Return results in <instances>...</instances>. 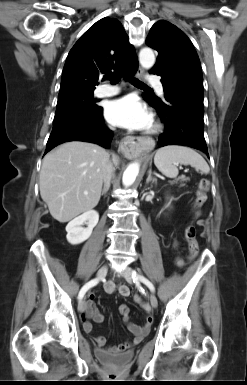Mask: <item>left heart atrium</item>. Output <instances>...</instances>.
<instances>
[{
    "mask_svg": "<svg viewBox=\"0 0 247 385\" xmlns=\"http://www.w3.org/2000/svg\"><path fill=\"white\" fill-rule=\"evenodd\" d=\"M105 116L111 124L129 130H145L152 124L151 112L133 95L110 101Z\"/></svg>",
    "mask_w": 247,
    "mask_h": 385,
    "instance_id": "obj_1",
    "label": "left heart atrium"
}]
</instances>
